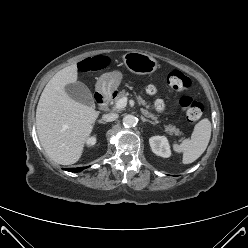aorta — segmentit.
Masks as SVG:
<instances>
[{
    "instance_id": "aorta-1",
    "label": "aorta",
    "mask_w": 248,
    "mask_h": 248,
    "mask_svg": "<svg viewBox=\"0 0 248 248\" xmlns=\"http://www.w3.org/2000/svg\"><path fill=\"white\" fill-rule=\"evenodd\" d=\"M137 124V118L133 115H125L123 117V125L126 128L134 127Z\"/></svg>"
}]
</instances>
